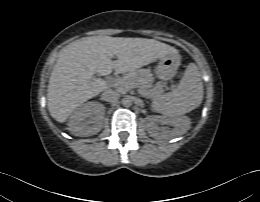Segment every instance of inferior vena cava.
I'll return each instance as SVG.
<instances>
[{"label": "inferior vena cava", "instance_id": "inferior-vena-cava-1", "mask_svg": "<svg viewBox=\"0 0 260 202\" xmlns=\"http://www.w3.org/2000/svg\"><path fill=\"white\" fill-rule=\"evenodd\" d=\"M102 98L107 102L115 103L119 100L120 93L116 90H106L103 92Z\"/></svg>", "mask_w": 260, "mask_h": 202}]
</instances>
